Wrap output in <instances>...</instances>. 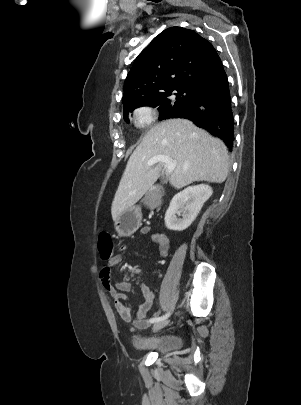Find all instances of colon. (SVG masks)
<instances>
[{"mask_svg":"<svg viewBox=\"0 0 301 405\" xmlns=\"http://www.w3.org/2000/svg\"><path fill=\"white\" fill-rule=\"evenodd\" d=\"M98 250L104 261H109L113 255V244L111 236L107 232H102L98 238Z\"/></svg>","mask_w":301,"mask_h":405,"instance_id":"obj_1","label":"colon"}]
</instances>
